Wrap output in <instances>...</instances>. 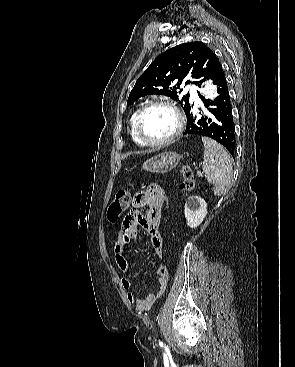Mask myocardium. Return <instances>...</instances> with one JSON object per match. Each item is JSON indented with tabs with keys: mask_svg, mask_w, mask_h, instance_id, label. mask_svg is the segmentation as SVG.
Instances as JSON below:
<instances>
[{
	"mask_svg": "<svg viewBox=\"0 0 295 367\" xmlns=\"http://www.w3.org/2000/svg\"><path fill=\"white\" fill-rule=\"evenodd\" d=\"M157 106H161V107H166L168 109H170L175 117H176V129L173 132L172 135H170L168 138L160 140V141H150L148 139H146L141 131V120L142 117L144 115V113L152 108V107H157ZM183 127H184V118L183 115L181 113V111L178 109V107H176L173 103L166 101V100H154L151 101L145 105H143L136 114L135 117V123H134V130L136 133L137 138L139 139V141L145 145V146H149V147H161V146H166L171 144L172 142H174L182 133L183 131Z\"/></svg>",
	"mask_w": 295,
	"mask_h": 367,
	"instance_id": "1",
	"label": "myocardium"
}]
</instances>
